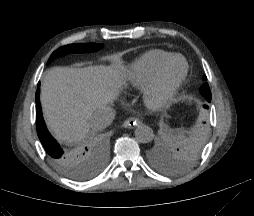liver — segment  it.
<instances>
[{"label":"liver","mask_w":254,"mask_h":216,"mask_svg":"<svg viewBox=\"0 0 254 216\" xmlns=\"http://www.w3.org/2000/svg\"><path fill=\"white\" fill-rule=\"evenodd\" d=\"M123 84L118 65L51 68L43 79L40 95L49 129L61 142L81 141L91 131L93 113L113 103Z\"/></svg>","instance_id":"liver-1"}]
</instances>
